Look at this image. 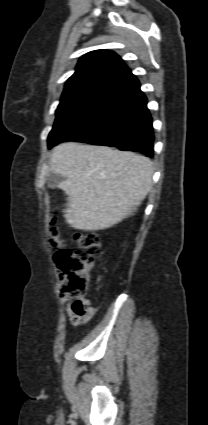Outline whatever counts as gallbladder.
<instances>
[{
    "label": "gallbladder",
    "instance_id": "1",
    "mask_svg": "<svg viewBox=\"0 0 208 425\" xmlns=\"http://www.w3.org/2000/svg\"><path fill=\"white\" fill-rule=\"evenodd\" d=\"M63 181V176L56 173H50L47 178V186L51 189L57 188Z\"/></svg>",
    "mask_w": 208,
    "mask_h": 425
}]
</instances>
